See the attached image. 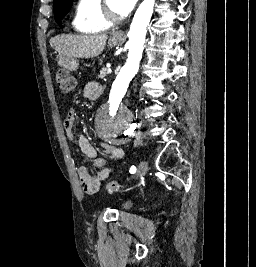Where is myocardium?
<instances>
[{"label":"myocardium","mask_w":256,"mask_h":267,"mask_svg":"<svg viewBox=\"0 0 256 267\" xmlns=\"http://www.w3.org/2000/svg\"><path fill=\"white\" fill-rule=\"evenodd\" d=\"M104 1V6H103V11L101 13V17H102V25H103V31H108L110 30L113 26H107L108 23L111 21L112 19V11H111V6H110V2L113 0H103ZM116 22V21H115ZM107 26V27H106Z\"/></svg>","instance_id":"obj_1"}]
</instances>
